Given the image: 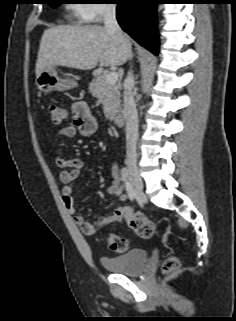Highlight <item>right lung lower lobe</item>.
<instances>
[{
    "label": "right lung lower lobe",
    "instance_id": "obj_1",
    "mask_svg": "<svg viewBox=\"0 0 236 321\" xmlns=\"http://www.w3.org/2000/svg\"><path fill=\"white\" fill-rule=\"evenodd\" d=\"M117 20L135 41L154 54L159 52L156 28V4L159 0H114Z\"/></svg>",
    "mask_w": 236,
    "mask_h": 321
}]
</instances>
